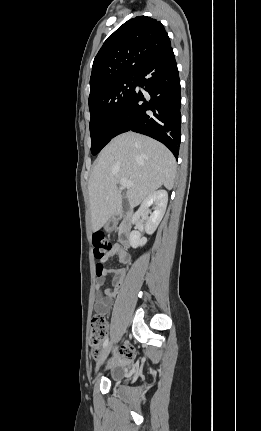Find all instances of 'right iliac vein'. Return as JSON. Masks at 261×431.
<instances>
[{"label": "right iliac vein", "instance_id": "obj_1", "mask_svg": "<svg viewBox=\"0 0 261 431\" xmlns=\"http://www.w3.org/2000/svg\"><path fill=\"white\" fill-rule=\"evenodd\" d=\"M113 347L112 342H110L105 349L103 350V352L101 353L97 364H96V371H98L99 367L103 364V362L105 361L106 357L108 356V354L110 353L111 349Z\"/></svg>", "mask_w": 261, "mask_h": 431}]
</instances>
